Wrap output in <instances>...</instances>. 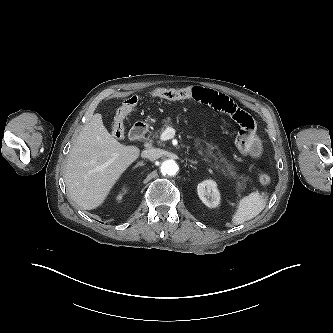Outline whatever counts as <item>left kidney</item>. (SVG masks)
<instances>
[{"instance_id":"5707ae66","label":"left kidney","mask_w":333,"mask_h":333,"mask_svg":"<svg viewBox=\"0 0 333 333\" xmlns=\"http://www.w3.org/2000/svg\"><path fill=\"white\" fill-rule=\"evenodd\" d=\"M197 192L200 200L209 208H215L220 204V193L217 184L213 180H205L198 184Z\"/></svg>"}]
</instances>
